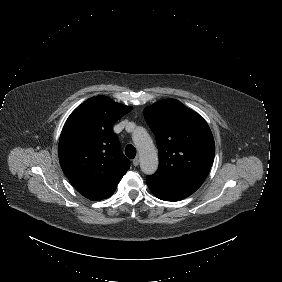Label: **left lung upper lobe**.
<instances>
[{"instance_id": "1", "label": "left lung upper lobe", "mask_w": 282, "mask_h": 282, "mask_svg": "<svg viewBox=\"0 0 282 282\" xmlns=\"http://www.w3.org/2000/svg\"><path fill=\"white\" fill-rule=\"evenodd\" d=\"M144 117L159 152L156 175L203 182L212 166L215 143L206 121L175 99L148 106Z\"/></svg>"}]
</instances>
